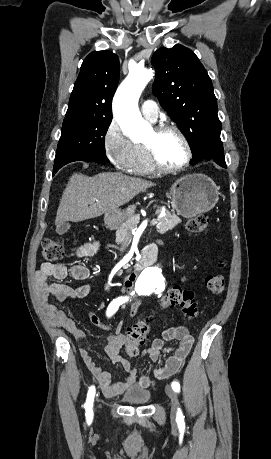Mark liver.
Instances as JSON below:
<instances>
[{"label": "liver", "instance_id": "1", "mask_svg": "<svg viewBox=\"0 0 271 459\" xmlns=\"http://www.w3.org/2000/svg\"><path fill=\"white\" fill-rule=\"evenodd\" d=\"M151 186L152 182L131 178L121 172H103L93 178L73 174L62 194L55 224L83 222L115 212Z\"/></svg>", "mask_w": 271, "mask_h": 459}]
</instances>
